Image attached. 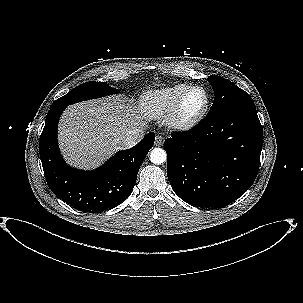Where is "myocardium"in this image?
<instances>
[{
  "instance_id": "myocardium-1",
  "label": "myocardium",
  "mask_w": 303,
  "mask_h": 303,
  "mask_svg": "<svg viewBox=\"0 0 303 303\" xmlns=\"http://www.w3.org/2000/svg\"><path fill=\"white\" fill-rule=\"evenodd\" d=\"M194 90H200L204 95L203 107L194 114H187L185 112V103L188 96ZM210 99L208 92L202 86H191L180 97L175 107L168 115V125L177 131H187L195 127L207 114L209 109Z\"/></svg>"
}]
</instances>
